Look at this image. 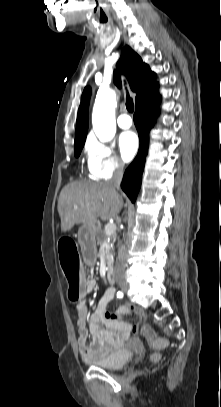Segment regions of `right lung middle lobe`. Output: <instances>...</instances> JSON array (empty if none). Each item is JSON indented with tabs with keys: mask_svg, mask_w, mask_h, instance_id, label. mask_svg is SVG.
<instances>
[{
	"mask_svg": "<svg viewBox=\"0 0 221 407\" xmlns=\"http://www.w3.org/2000/svg\"><path fill=\"white\" fill-rule=\"evenodd\" d=\"M84 143H85V142H80V143H75V144H74V154H75V157H78V156L80 155L81 150H82V148H83V146H84Z\"/></svg>",
	"mask_w": 221,
	"mask_h": 407,
	"instance_id": "1",
	"label": "right lung middle lobe"
}]
</instances>
